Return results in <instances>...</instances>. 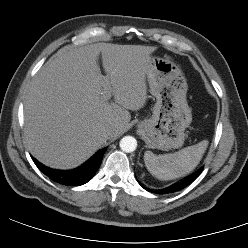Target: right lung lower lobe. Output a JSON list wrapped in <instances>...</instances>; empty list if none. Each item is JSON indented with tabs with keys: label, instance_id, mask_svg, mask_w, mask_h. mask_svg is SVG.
Wrapping results in <instances>:
<instances>
[{
	"label": "right lung lower lobe",
	"instance_id": "right-lung-lower-lobe-1",
	"mask_svg": "<svg viewBox=\"0 0 248 248\" xmlns=\"http://www.w3.org/2000/svg\"><path fill=\"white\" fill-rule=\"evenodd\" d=\"M106 148L98 151L82 166L73 170H55L44 166L32 157L38 169L51 180L67 186H79L90 181L100 167Z\"/></svg>",
	"mask_w": 248,
	"mask_h": 248
}]
</instances>
